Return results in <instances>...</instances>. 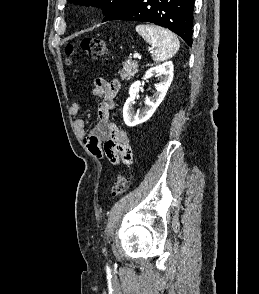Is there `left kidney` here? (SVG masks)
<instances>
[{
    "mask_svg": "<svg viewBox=\"0 0 259 294\" xmlns=\"http://www.w3.org/2000/svg\"><path fill=\"white\" fill-rule=\"evenodd\" d=\"M173 63L167 61L161 65L150 68L144 76V79L154 75L160 76V82L156 84V93L153 97H149L145 101V108L138 110L136 113L133 109L135 97L141 86L140 81L134 82L129 89V98L126 100L123 107V119L127 126L133 127L147 121L156 111L157 107L163 101L167 90L173 79Z\"/></svg>",
    "mask_w": 259,
    "mask_h": 294,
    "instance_id": "1",
    "label": "left kidney"
}]
</instances>
